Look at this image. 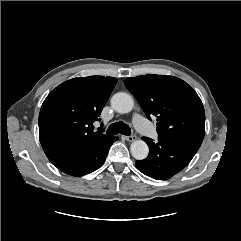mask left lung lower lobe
Wrapping results in <instances>:
<instances>
[{
	"label": "left lung lower lobe",
	"mask_w": 241,
	"mask_h": 241,
	"mask_svg": "<svg viewBox=\"0 0 241 241\" xmlns=\"http://www.w3.org/2000/svg\"><path fill=\"white\" fill-rule=\"evenodd\" d=\"M149 146L146 159L136 161L137 168L146 176L166 180L185 168L201 143L158 137V143L142 138Z\"/></svg>",
	"instance_id": "left-lung-lower-lobe-1"
}]
</instances>
